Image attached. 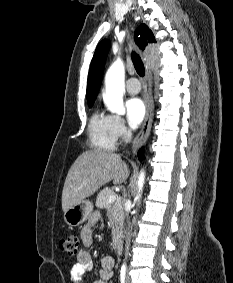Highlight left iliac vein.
Wrapping results in <instances>:
<instances>
[{"instance_id":"4c4485c4","label":"left iliac vein","mask_w":233,"mask_h":283,"mask_svg":"<svg viewBox=\"0 0 233 283\" xmlns=\"http://www.w3.org/2000/svg\"><path fill=\"white\" fill-rule=\"evenodd\" d=\"M126 283H131V278L128 273L126 275Z\"/></svg>"}]
</instances>
